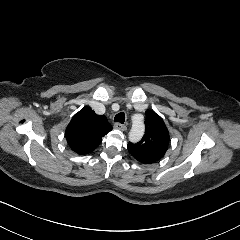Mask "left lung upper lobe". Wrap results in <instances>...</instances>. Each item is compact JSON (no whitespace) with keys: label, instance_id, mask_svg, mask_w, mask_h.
<instances>
[{"label":"left lung upper lobe","instance_id":"1","mask_svg":"<svg viewBox=\"0 0 240 240\" xmlns=\"http://www.w3.org/2000/svg\"><path fill=\"white\" fill-rule=\"evenodd\" d=\"M145 134L141 141L127 147L141 163L151 164L161 159L168 149L169 132L162 118L151 110L146 111Z\"/></svg>","mask_w":240,"mask_h":240}]
</instances>
